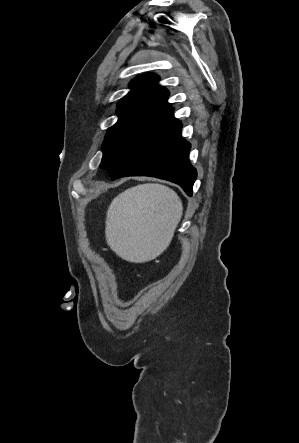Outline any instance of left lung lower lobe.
I'll list each match as a JSON object with an SVG mask.
<instances>
[{
	"instance_id": "obj_1",
	"label": "left lung lower lobe",
	"mask_w": 299,
	"mask_h": 443,
	"mask_svg": "<svg viewBox=\"0 0 299 443\" xmlns=\"http://www.w3.org/2000/svg\"><path fill=\"white\" fill-rule=\"evenodd\" d=\"M181 128L171 108L114 164L109 176L157 177L180 185L192 196L197 173L189 162L190 143L181 137Z\"/></svg>"
}]
</instances>
